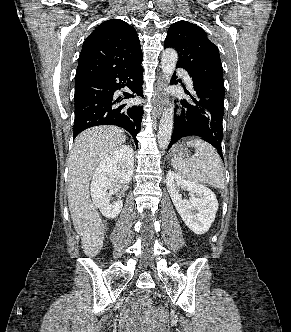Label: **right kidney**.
<instances>
[{
    "mask_svg": "<svg viewBox=\"0 0 291 332\" xmlns=\"http://www.w3.org/2000/svg\"><path fill=\"white\" fill-rule=\"evenodd\" d=\"M133 166L134 152L123 145L107 155L97 167L91 182V196L106 218H116L121 212L123 202L117 200L110 203L111 196L117 192L118 181L125 184L131 181Z\"/></svg>",
    "mask_w": 291,
    "mask_h": 332,
    "instance_id": "right-kidney-1",
    "label": "right kidney"
}]
</instances>
